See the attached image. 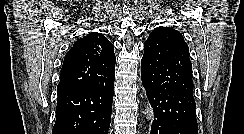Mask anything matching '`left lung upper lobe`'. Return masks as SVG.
Instances as JSON below:
<instances>
[{"label": "left lung upper lobe", "mask_w": 244, "mask_h": 134, "mask_svg": "<svg viewBox=\"0 0 244 134\" xmlns=\"http://www.w3.org/2000/svg\"><path fill=\"white\" fill-rule=\"evenodd\" d=\"M141 70L157 86L193 92L189 48L175 29L159 27L150 33L144 43Z\"/></svg>", "instance_id": "obj_1"}]
</instances>
